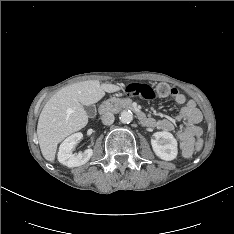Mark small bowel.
<instances>
[{
  "mask_svg": "<svg viewBox=\"0 0 234 234\" xmlns=\"http://www.w3.org/2000/svg\"><path fill=\"white\" fill-rule=\"evenodd\" d=\"M172 96L177 104L182 105L179 115L174 119L164 118L157 120L149 118L147 126L163 131H173L175 128H178L177 138L180 142L181 151L184 155H188L191 152L193 139L201 135V129L198 124L202 119V115L197 109L195 102L186 100V97L176 89H173Z\"/></svg>",
  "mask_w": 234,
  "mask_h": 234,
  "instance_id": "small-bowel-1",
  "label": "small bowel"
}]
</instances>
